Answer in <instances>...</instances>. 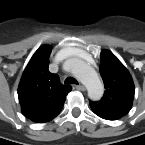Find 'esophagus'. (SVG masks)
Instances as JSON below:
<instances>
[{
  "mask_svg": "<svg viewBox=\"0 0 145 145\" xmlns=\"http://www.w3.org/2000/svg\"><path fill=\"white\" fill-rule=\"evenodd\" d=\"M75 88L80 90V91H85V87L83 85H81V84L75 85Z\"/></svg>",
  "mask_w": 145,
  "mask_h": 145,
  "instance_id": "esophagus-1",
  "label": "esophagus"
}]
</instances>
